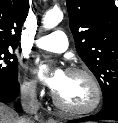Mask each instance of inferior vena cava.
<instances>
[{"label":"inferior vena cava","instance_id":"1","mask_svg":"<svg viewBox=\"0 0 118 123\" xmlns=\"http://www.w3.org/2000/svg\"><path fill=\"white\" fill-rule=\"evenodd\" d=\"M21 104L24 111L29 115L38 112L39 102L36 96L35 84H28L21 87ZM18 123H32V121L30 118L21 117L19 118Z\"/></svg>","mask_w":118,"mask_h":123}]
</instances>
